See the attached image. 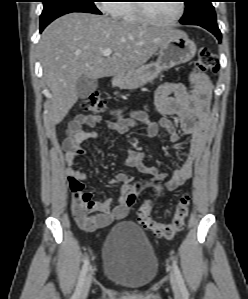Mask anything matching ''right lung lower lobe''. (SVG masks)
<instances>
[{"mask_svg": "<svg viewBox=\"0 0 248 299\" xmlns=\"http://www.w3.org/2000/svg\"><path fill=\"white\" fill-rule=\"evenodd\" d=\"M46 26H40V31L42 32Z\"/></svg>", "mask_w": 248, "mask_h": 299, "instance_id": "right-lung-lower-lobe-1", "label": "right lung lower lobe"}]
</instances>
